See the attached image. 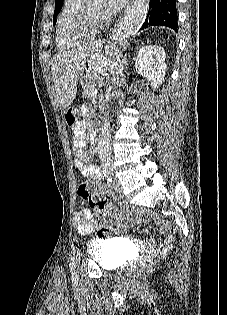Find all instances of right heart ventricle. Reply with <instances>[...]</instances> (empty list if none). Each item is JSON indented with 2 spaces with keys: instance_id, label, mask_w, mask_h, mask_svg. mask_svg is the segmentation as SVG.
Here are the masks:
<instances>
[{
  "instance_id": "obj_1",
  "label": "right heart ventricle",
  "mask_w": 227,
  "mask_h": 315,
  "mask_svg": "<svg viewBox=\"0 0 227 315\" xmlns=\"http://www.w3.org/2000/svg\"><path fill=\"white\" fill-rule=\"evenodd\" d=\"M83 0H64L57 19L56 45L60 50L70 49L91 39L95 33L75 35L72 29L74 19Z\"/></svg>"
}]
</instances>
